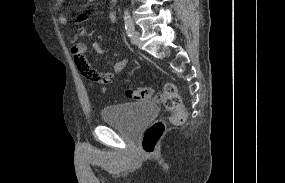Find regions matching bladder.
Masks as SVG:
<instances>
[{
    "label": "bladder",
    "instance_id": "obj_1",
    "mask_svg": "<svg viewBox=\"0 0 285 183\" xmlns=\"http://www.w3.org/2000/svg\"><path fill=\"white\" fill-rule=\"evenodd\" d=\"M157 113V106L151 102L124 103L103 107L101 119L106 124L119 126L129 134H137Z\"/></svg>",
    "mask_w": 285,
    "mask_h": 183
}]
</instances>
